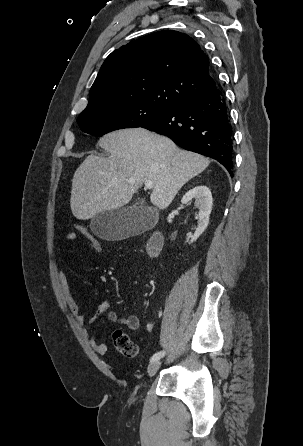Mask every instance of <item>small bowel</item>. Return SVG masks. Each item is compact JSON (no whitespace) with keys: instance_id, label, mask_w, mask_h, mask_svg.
<instances>
[{"instance_id":"small-bowel-1","label":"small bowel","mask_w":303,"mask_h":446,"mask_svg":"<svg viewBox=\"0 0 303 446\" xmlns=\"http://www.w3.org/2000/svg\"><path fill=\"white\" fill-rule=\"evenodd\" d=\"M66 239L69 242L79 239L84 243V245L90 251L95 252L92 241L86 237L78 235L75 232H71V233L67 234ZM58 278H59V283H60V287L62 290V294H63V297L65 299L68 309L70 310L71 314L73 315V317L77 321V323L80 325H83L84 324V315L80 309L77 298L75 297V295L72 291V288L70 286L68 278L62 270L59 271ZM110 306H111V300L110 299L104 300L98 306L95 315L90 319L89 323H93L98 318L102 317L103 315H106L110 321L117 323L119 325H122L131 331H135V330L139 329L140 321L137 316H135V315L119 316L115 311H112L110 309ZM154 328H155L154 322L150 321L146 324L147 331L151 332L154 330ZM89 343H90L91 347L98 354L104 355L107 353L108 347L105 343L98 342L93 337H89Z\"/></svg>"}]
</instances>
